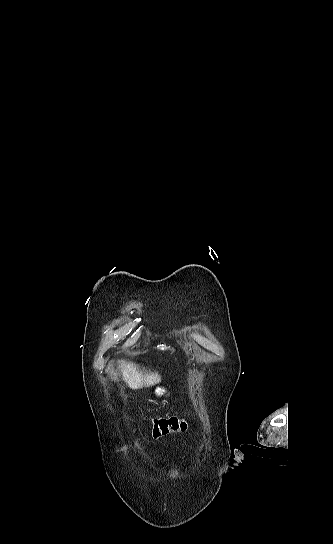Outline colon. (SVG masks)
Masks as SVG:
<instances>
[{"label": "colon", "mask_w": 333, "mask_h": 544, "mask_svg": "<svg viewBox=\"0 0 333 544\" xmlns=\"http://www.w3.org/2000/svg\"><path fill=\"white\" fill-rule=\"evenodd\" d=\"M188 429V422L178 417L161 418L152 422V436L159 438L171 433L185 432Z\"/></svg>", "instance_id": "obj_1"}]
</instances>
